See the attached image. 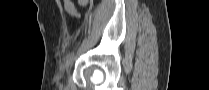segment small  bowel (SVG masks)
<instances>
[{
	"label": "small bowel",
	"mask_w": 209,
	"mask_h": 90,
	"mask_svg": "<svg viewBox=\"0 0 209 90\" xmlns=\"http://www.w3.org/2000/svg\"><path fill=\"white\" fill-rule=\"evenodd\" d=\"M88 1L86 0H79L80 5H87ZM64 8L65 10L74 17H80L79 11L76 9L74 3L69 0L64 1Z\"/></svg>",
	"instance_id": "obj_1"
}]
</instances>
